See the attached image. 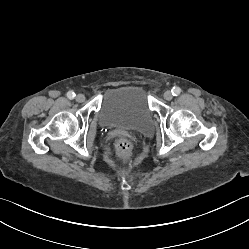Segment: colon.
<instances>
[{"instance_id": "colon-1", "label": "colon", "mask_w": 249, "mask_h": 249, "mask_svg": "<svg viewBox=\"0 0 249 249\" xmlns=\"http://www.w3.org/2000/svg\"><path fill=\"white\" fill-rule=\"evenodd\" d=\"M116 152L125 161L130 160L132 154V144L126 138H121L116 142Z\"/></svg>"}]
</instances>
